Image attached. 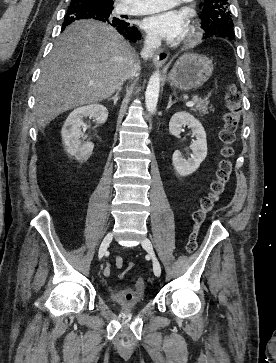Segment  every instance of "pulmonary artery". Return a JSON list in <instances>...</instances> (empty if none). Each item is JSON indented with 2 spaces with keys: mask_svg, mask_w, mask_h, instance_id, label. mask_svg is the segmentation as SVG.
I'll use <instances>...</instances> for the list:
<instances>
[{
  "mask_svg": "<svg viewBox=\"0 0 276 363\" xmlns=\"http://www.w3.org/2000/svg\"><path fill=\"white\" fill-rule=\"evenodd\" d=\"M125 3H130L133 0H124ZM190 0H141L134 7H125L123 11L128 14H149L162 10L169 9L178 5L180 2H186Z\"/></svg>",
  "mask_w": 276,
  "mask_h": 363,
  "instance_id": "obj_1",
  "label": "pulmonary artery"
}]
</instances>
